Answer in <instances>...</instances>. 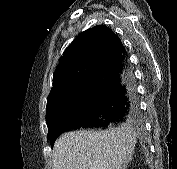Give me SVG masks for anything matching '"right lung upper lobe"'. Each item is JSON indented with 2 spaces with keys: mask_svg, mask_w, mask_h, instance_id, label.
I'll list each match as a JSON object with an SVG mask.
<instances>
[{
  "mask_svg": "<svg viewBox=\"0 0 177 169\" xmlns=\"http://www.w3.org/2000/svg\"><path fill=\"white\" fill-rule=\"evenodd\" d=\"M126 52L119 37L105 25L90 28L67 47L53 75L47 106L65 99Z\"/></svg>",
  "mask_w": 177,
  "mask_h": 169,
  "instance_id": "1",
  "label": "right lung upper lobe"
}]
</instances>
